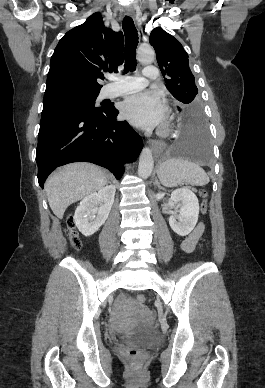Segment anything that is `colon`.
<instances>
[{
	"mask_svg": "<svg viewBox=\"0 0 265 388\" xmlns=\"http://www.w3.org/2000/svg\"><path fill=\"white\" fill-rule=\"evenodd\" d=\"M201 195L203 197L206 196V192L205 191H202L201 192ZM67 227L69 229V238H70V242H71V245L75 248V249H78L80 247V241L76 235V233L74 232L73 228H74V223H73V220L72 218H69L67 220ZM135 301L138 305L140 306H143L145 305V302H146V297L143 295V294H137L136 297H135ZM123 354L129 358L131 361L137 363L140 361L141 359V352L138 350V349H135V348H130V349H124L123 350Z\"/></svg>",
	"mask_w": 265,
	"mask_h": 388,
	"instance_id": "colon-1",
	"label": "colon"
}]
</instances>
